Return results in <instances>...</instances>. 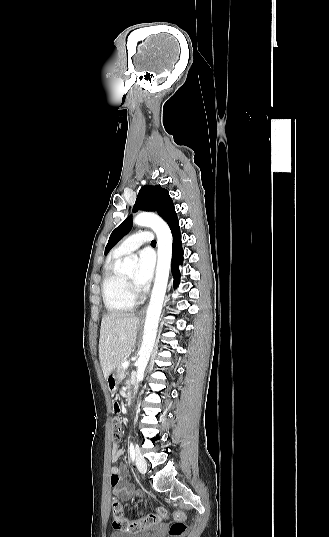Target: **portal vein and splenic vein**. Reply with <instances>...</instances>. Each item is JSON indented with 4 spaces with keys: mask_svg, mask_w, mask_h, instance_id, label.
Here are the masks:
<instances>
[{
    "mask_svg": "<svg viewBox=\"0 0 329 537\" xmlns=\"http://www.w3.org/2000/svg\"><path fill=\"white\" fill-rule=\"evenodd\" d=\"M123 369H127L129 367V362L125 361L122 365Z\"/></svg>",
    "mask_w": 329,
    "mask_h": 537,
    "instance_id": "18ae733b",
    "label": "portal vein and splenic vein"
}]
</instances>
